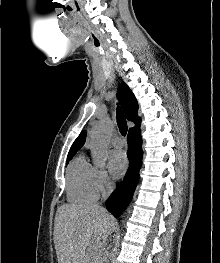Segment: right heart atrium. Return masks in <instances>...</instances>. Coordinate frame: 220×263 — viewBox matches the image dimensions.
<instances>
[{
	"instance_id": "1",
	"label": "right heart atrium",
	"mask_w": 220,
	"mask_h": 263,
	"mask_svg": "<svg viewBox=\"0 0 220 263\" xmlns=\"http://www.w3.org/2000/svg\"><path fill=\"white\" fill-rule=\"evenodd\" d=\"M95 178L99 192H105L110 188L111 182L105 170L97 168Z\"/></svg>"
}]
</instances>
